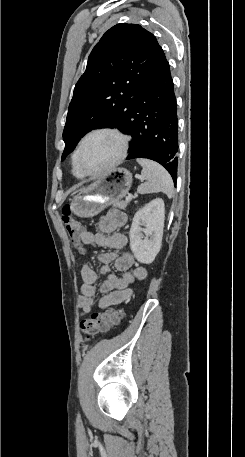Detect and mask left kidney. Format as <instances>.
Returning a JSON list of instances; mask_svg holds the SVG:
<instances>
[{
	"label": "left kidney",
	"mask_w": 245,
	"mask_h": 457,
	"mask_svg": "<svg viewBox=\"0 0 245 457\" xmlns=\"http://www.w3.org/2000/svg\"><path fill=\"white\" fill-rule=\"evenodd\" d=\"M164 208L162 198H153L134 214L129 237L130 249L138 263L150 265L160 251L165 220ZM142 226H146V229H142ZM142 233H145V237Z\"/></svg>",
	"instance_id": "left-kidney-1"
}]
</instances>
